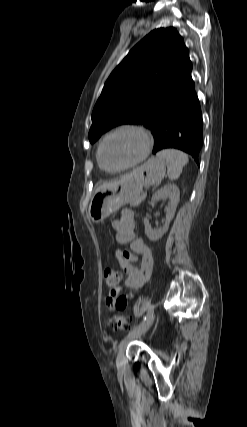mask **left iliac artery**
<instances>
[{
    "instance_id": "left-iliac-artery-1",
    "label": "left iliac artery",
    "mask_w": 247,
    "mask_h": 427,
    "mask_svg": "<svg viewBox=\"0 0 247 427\" xmlns=\"http://www.w3.org/2000/svg\"><path fill=\"white\" fill-rule=\"evenodd\" d=\"M154 308L153 306H149L147 314L145 315V317L143 318L142 322L137 325L136 327H134L129 333H131L133 330L137 329L138 327H140L141 325H143L153 314Z\"/></svg>"
}]
</instances>
